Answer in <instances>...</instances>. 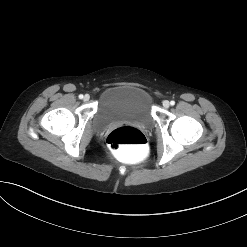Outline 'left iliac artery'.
Wrapping results in <instances>:
<instances>
[{"mask_svg":"<svg viewBox=\"0 0 247 247\" xmlns=\"http://www.w3.org/2000/svg\"><path fill=\"white\" fill-rule=\"evenodd\" d=\"M170 104H171L172 106L175 105V101L172 100V101L170 102Z\"/></svg>","mask_w":247,"mask_h":247,"instance_id":"44dca946","label":"left iliac artery"}]
</instances>
